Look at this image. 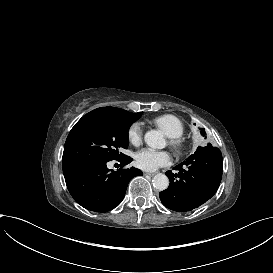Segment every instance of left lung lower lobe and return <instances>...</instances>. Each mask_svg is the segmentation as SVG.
<instances>
[{
    "mask_svg": "<svg viewBox=\"0 0 273 273\" xmlns=\"http://www.w3.org/2000/svg\"><path fill=\"white\" fill-rule=\"evenodd\" d=\"M174 169L179 172H166L170 184L159 193L161 202L173 211H191L218 190L223 169L221 151L214 146L198 147L194 154Z\"/></svg>",
    "mask_w": 273,
    "mask_h": 273,
    "instance_id": "1",
    "label": "left lung lower lobe"
}]
</instances>
